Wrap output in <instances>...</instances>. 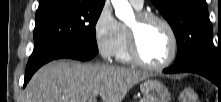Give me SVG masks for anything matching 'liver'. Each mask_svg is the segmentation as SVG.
<instances>
[{"label": "liver", "instance_id": "obj_1", "mask_svg": "<svg viewBox=\"0 0 221 102\" xmlns=\"http://www.w3.org/2000/svg\"><path fill=\"white\" fill-rule=\"evenodd\" d=\"M149 75L104 64L53 61L40 68L25 89L24 102H122L127 92Z\"/></svg>", "mask_w": 221, "mask_h": 102}]
</instances>
